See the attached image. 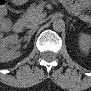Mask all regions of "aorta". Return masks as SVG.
<instances>
[{"label": "aorta", "instance_id": "obj_1", "mask_svg": "<svg viewBox=\"0 0 91 91\" xmlns=\"http://www.w3.org/2000/svg\"><path fill=\"white\" fill-rule=\"evenodd\" d=\"M64 28H65V22L63 19L58 18L53 21V29L55 31H62L64 30Z\"/></svg>", "mask_w": 91, "mask_h": 91}]
</instances>
